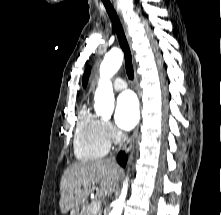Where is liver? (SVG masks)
<instances>
[{
    "mask_svg": "<svg viewBox=\"0 0 221 215\" xmlns=\"http://www.w3.org/2000/svg\"><path fill=\"white\" fill-rule=\"evenodd\" d=\"M120 171L118 164L110 160L78 162L69 166L60 182L62 214L80 208L94 190L95 183L100 184V195H110L119 180Z\"/></svg>",
    "mask_w": 221,
    "mask_h": 215,
    "instance_id": "1",
    "label": "liver"
}]
</instances>
